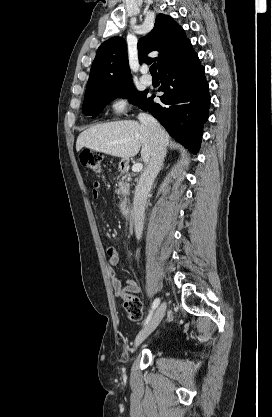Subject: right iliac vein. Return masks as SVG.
<instances>
[{
	"label": "right iliac vein",
	"instance_id": "63e3f726",
	"mask_svg": "<svg viewBox=\"0 0 272 417\" xmlns=\"http://www.w3.org/2000/svg\"><path fill=\"white\" fill-rule=\"evenodd\" d=\"M166 302H163L155 311L153 317L149 323L138 333L135 338L134 346L132 351H135L137 347L156 329L161 322L166 311Z\"/></svg>",
	"mask_w": 272,
	"mask_h": 417
}]
</instances>
